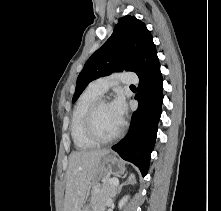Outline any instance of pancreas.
<instances>
[{
    "mask_svg": "<svg viewBox=\"0 0 221 211\" xmlns=\"http://www.w3.org/2000/svg\"><path fill=\"white\" fill-rule=\"evenodd\" d=\"M110 178L105 177L102 185H97L91 192V211H105L107 201L116 194V187L109 183Z\"/></svg>",
    "mask_w": 221,
    "mask_h": 211,
    "instance_id": "pancreas-1",
    "label": "pancreas"
}]
</instances>
